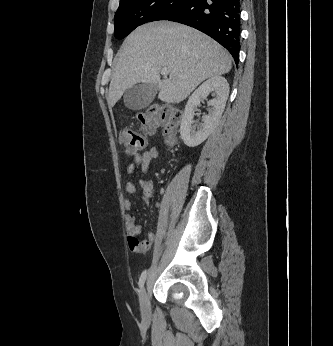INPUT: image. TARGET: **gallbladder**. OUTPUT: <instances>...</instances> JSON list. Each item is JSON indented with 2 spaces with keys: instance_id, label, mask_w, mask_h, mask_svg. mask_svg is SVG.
Masks as SVG:
<instances>
[{
  "instance_id": "obj_1",
  "label": "gallbladder",
  "mask_w": 333,
  "mask_h": 346,
  "mask_svg": "<svg viewBox=\"0 0 333 346\" xmlns=\"http://www.w3.org/2000/svg\"><path fill=\"white\" fill-rule=\"evenodd\" d=\"M157 91L158 87L153 83L136 84L125 90L124 104L131 110H141L154 100Z\"/></svg>"
}]
</instances>
